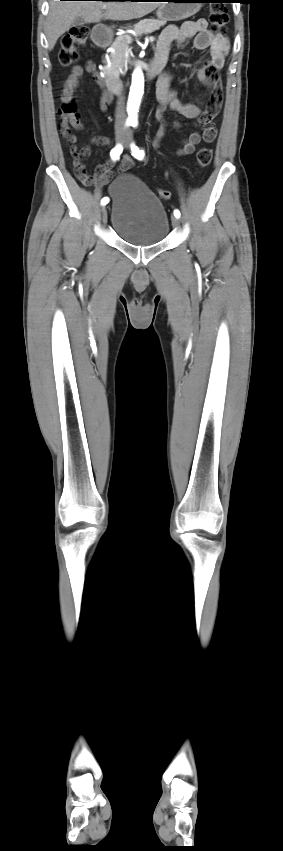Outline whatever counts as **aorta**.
Wrapping results in <instances>:
<instances>
[{
  "instance_id": "obj_1",
  "label": "aorta",
  "mask_w": 283,
  "mask_h": 851,
  "mask_svg": "<svg viewBox=\"0 0 283 851\" xmlns=\"http://www.w3.org/2000/svg\"><path fill=\"white\" fill-rule=\"evenodd\" d=\"M144 93V75L141 68H135L128 97V116L132 122L137 121L140 102Z\"/></svg>"
}]
</instances>
